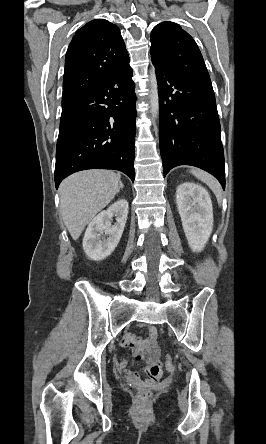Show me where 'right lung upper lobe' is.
<instances>
[{
  "label": "right lung upper lobe",
  "mask_w": 266,
  "mask_h": 444,
  "mask_svg": "<svg viewBox=\"0 0 266 444\" xmlns=\"http://www.w3.org/2000/svg\"><path fill=\"white\" fill-rule=\"evenodd\" d=\"M129 60L119 28L95 19L80 28L65 57L62 102L70 104Z\"/></svg>",
  "instance_id": "right-lung-upper-lobe-1"
}]
</instances>
